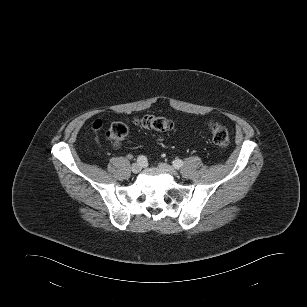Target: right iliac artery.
Wrapping results in <instances>:
<instances>
[{"label":"right iliac artery","instance_id":"82829eb1","mask_svg":"<svg viewBox=\"0 0 307 307\" xmlns=\"http://www.w3.org/2000/svg\"><path fill=\"white\" fill-rule=\"evenodd\" d=\"M137 162L139 163V164H141V165H145L146 164V162H147V158L145 157V156H139L138 158H137Z\"/></svg>","mask_w":307,"mask_h":307}]
</instances>
